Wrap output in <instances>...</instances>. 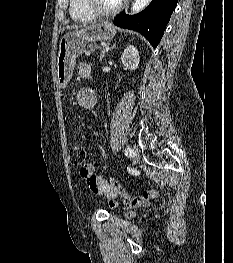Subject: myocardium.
I'll return each instance as SVG.
<instances>
[{
	"mask_svg": "<svg viewBox=\"0 0 233 263\" xmlns=\"http://www.w3.org/2000/svg\"><path fill=\"white\" fill-rule=\"evenodd\" d=\"M87 8L95 15L98 17H108V16H113L120 12L122 8L124 7L126 0H121V2L113 9L110 10H104L101 9L97 3L96 0H85Z\"/></svg>",
	"mask_w": 233,
	"mask_h": 263,
	"instance_id": "myocardium-1",
	"label": "myocardium"
}]
</instances>
